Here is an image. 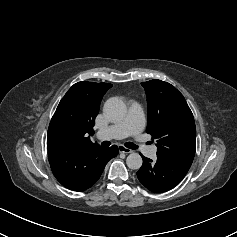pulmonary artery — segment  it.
Instances as JSON below:
<instances>
[{
  "instance_id": "e3ab8cb5",
  "label": "pulmonary artery",
  "mask_w": 237,
  "mask_h": 237,
  "mask_svg": "<svg viewBox=\"0 0 237 237\" xmlns=\"http://www.w3.org/2000/svg\"><path fill=\"white\" fill-rule=\"evenodd\" d=\"M144 124L142 107L139 104H133L122 121L98 131L97 137L100 139H123L131 135H138L143 130ZM139 149L148 157H155L157 151L156 146H140Z\"/></svg>"
}]
</instances>
